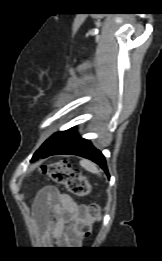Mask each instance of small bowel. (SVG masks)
Returning <instances> with one entry per match:
<instances>
[{
  "label": "small bowel",
  "instance_id": "small-bowel-1",
  "mask_svg": "<svg viewBox=\"0 0 162 261\" xmlns=\"http://www.w3.org/2000/svg\"><path fill=\"white\" fill-rule=\"evenodd\" d=\"M85 205L77 204L56 187L46 186L35 201V218L56 244H68L77 239L75 225L83 216Z\"/></svg>",
  "mask_w": 162,
  "mask_h": 261
}]
</instances>
